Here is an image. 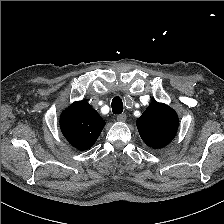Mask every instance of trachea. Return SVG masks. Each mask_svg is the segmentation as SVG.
Masks as SVG:
<instances>
[{"mask_svg":"<svg viewBox=\"0 0 224 224\" xmlns=\"http://www.w3.org/2000/svg\"><path fill=\"white\" fill-rule=\"evenodd\" d=\"M111 106H112V112L114 114L119 115L123 112V102L120 97L118 96L114 97Z\"/></svg>","mask_w":224,"mask_h":224,"instance_id":"3493384b","label":"trachea"}]
</instances>
